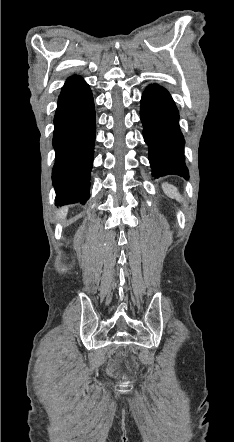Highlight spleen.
I'll return each mask as SVG.
<instances>
[{"label": "spleen", "instance_id": "1", "mask_svg": "<svg viewBox=\"0 0 234 442\" xmlns=\"http://www.w3.org/2000/svg\"><path fill=\"white\" fill-rule=\"evenodd\" d=\"M162 188H163L164 193L168 197H170L172 199H176L179 202L182 201V197L180 196V194L175 186L168 184V183H163Z\"/></svg>", "mask_w": 234, "mask_h": 442}]
</instances>
